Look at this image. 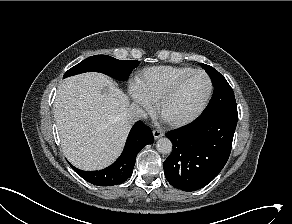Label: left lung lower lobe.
<instances>
[{
    "label": "left lung lower lobe",
    "instance_id": "1",
    "mask_svg": "<svg viewBox=\"0 0 292 224\" xmlns=\"http://www.w3.org/2000/svg\"><path fill=\"white\" fill-rule=\"evenodd\" d=\"M237 121V105L231 104L165 134L173 143V151L163 164L168 182L184 191L209 184L229 158Z\"/></svg>",
    "mask_w": 292,
    "mask_h": 224
}]
</instances>
